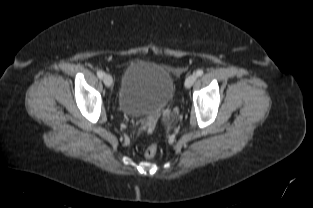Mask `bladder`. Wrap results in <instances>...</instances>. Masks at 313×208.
I'll return each instance as SVG.
<instances>
[{
    "label": "bladder",
    "mask_w": 313,
    "mask_h": 208,
    "mask_svg": "<svg viewBox=\"0 0 313 208\" xmlns=\"http://www.w3.org/2000/svg\"><path fill=\"white\" fill-rule=\"evenodd\" d=\"M174 89V81L165 69L133 61L123 71L117 106L129 116H158L169 105Z\"/></svg>",
    "instance_id": "obj_1"
}]
</instances>
